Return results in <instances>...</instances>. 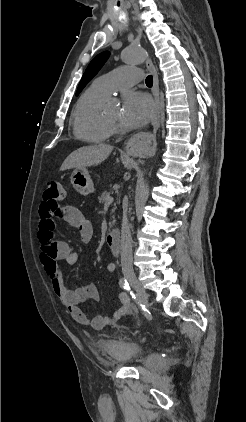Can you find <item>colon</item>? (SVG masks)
Masks as SVG:
<instances>
[{"mask_svg":"<svg viewBox=\"0 0 246 422\" xmlns=\"http://www.w3.org/2000/svg\"><path fill=\"white\" fill-rule=\"evenodd\" d=\"M65 198V190L61 183H48L43 193V203L53 209L61 208V204Z\"/></svg>","mask_w":246,"mask_h":422,"instance_id":"obj_1","label":"colon"}]
</instances>
